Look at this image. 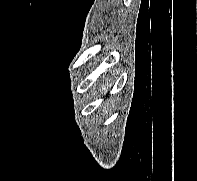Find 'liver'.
I'll use <instances>...</instances> for the list:
<instances>
[{"label": "liver", "mask_w": 197, "mask_h": 181, "mask_svg": "<svg viewBox=\"0 0 197 181\" xmlns=\"http://www.w3.org/2000/svg\"><path fill=\"white\" fill-rule=\"evenodd\" d=\"M109 81L106 80V84L102 87L103 92H107L111 85L108 83Z\"/></svg>", "instance_id": "obj_1"}]
</instances>
